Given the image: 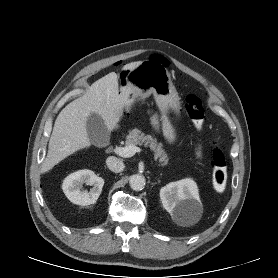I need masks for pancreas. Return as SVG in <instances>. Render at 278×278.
<instances>
[{
    "mask_svg": "<svg viewBox=\"0 0 278 278\" xmlns=\"http://www.w3.org/2000/svg\"><path fill=\"white\" fill-rule=\"evenodd\" d=\"M125 143L127 146L129 145L149 146L150 149L154 152L155 159H158L159 163L162 166L168 164L169 158L167 157V154L163 149L162 143H158L156 138H154L151 135H145L141 130L137 128L129 132Z\"/></svg>",
    "mask_w": 278,
    "mask_h": 278,
    "instance_id": "obj_1",
    "label": "pancreas"
}]
</instances>
